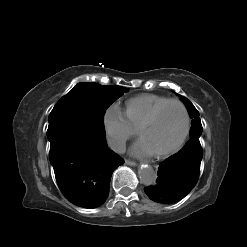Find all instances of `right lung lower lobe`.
I'll use <instances>...</instances> for the list:
<instances>
[{
    "mask_svg": "<svg viewBox=\"0 0 247 247\" xmlns=\"http://www.w3.org/2000/svg\"><path fill=\"white\" fill-rule=\"evenodd\" d=\"M49 159L65 198L83 208L102 205L109 195L113 171L124 163L108 149L105 135L77 119L49 123Z\"/></svg>",
    "mask_w": 247,
    "mask_h": 247,
    "instance_id": "obj_1",
    "label": "right lung lower lobe"
}]
</instances>
